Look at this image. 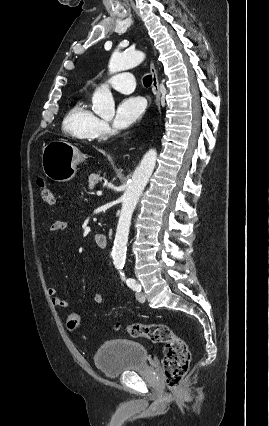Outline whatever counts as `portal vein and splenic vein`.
I'll use <instances>...</instances> for the list:
<instances>
[{
    "mask_svg": "<svg viewBox=\"0 0 269 426\" xmlns=\"http://www.w3.org/2000/svg\"><path fill=\"white\" fill-rule=\"evenodd\" d=\"M97 195L101 196L102 195V191H97Z\"/></svg>",
    "mask_w": 269,
    "mask_h": 426,
    "instance_id": "obj_1",
    "label": "portal vein and splenic vein"
}]
</instances>
